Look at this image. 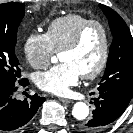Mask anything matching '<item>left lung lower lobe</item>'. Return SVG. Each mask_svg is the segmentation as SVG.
Here are the masks:
<instances>
[{
    "instance_id": "left-lung-lower-lobe-1",
    "label": "left lung lower lobe",
    "mask_w": 133,
    "mask_h": 133,
    "mask_svg": "<svg viewBox=\"0 0 133 133\" xmlns=\"http://www.w3.org/2000/svg\"><path fill=\"white\" fill-rule=\"evenodd\" d=\"M93 100L96 108L92 118L81 126L82 133H102L122 115L131 99L113 92L99 91V97Z\"/></svg>"
}]
</instances>
